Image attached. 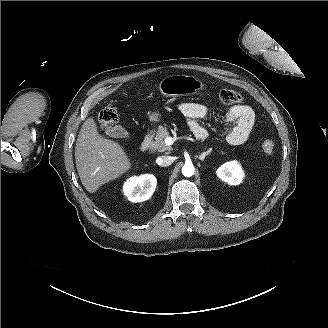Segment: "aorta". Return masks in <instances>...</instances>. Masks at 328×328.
Here are the masks:
<instances>
[{"mask_svg": "<svg viewBox=\"0 0 328 328\" xmlns=\"http://www.w3.org/2000/svg\"><path fill=\"white\" fill-rule=\"evenodd\" d=\"M194 172H195V168H194V166H193L192 163H186L182 167V174L185 177H191V176H193L194 175Z\"/></svg>", "mask_w": 328, "mask_h": 328, "instance_id": "1", "label": "aorta"}]
</instances>
